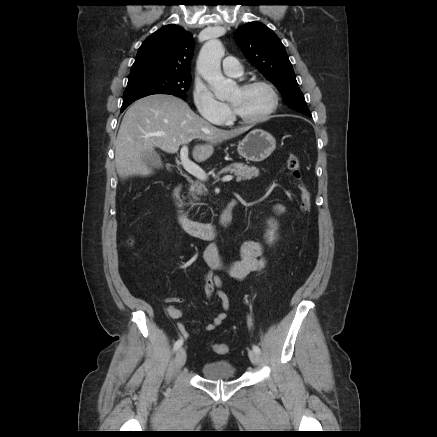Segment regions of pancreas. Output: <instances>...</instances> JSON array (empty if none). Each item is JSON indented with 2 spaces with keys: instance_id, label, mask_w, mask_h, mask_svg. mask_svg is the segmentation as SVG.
<instances>
[{
  "instance_id": "obj_1",
  "label": "pancreas",
  "mask_w": 437,
  "mask_h": 437,
  "mask_svg": "<svg viewBox=\"0 0 437 437\" xmlns=\"http://www.w3.org/2000/svg\"><path fill=\"white\" fill-rule=\"evenodd\" d=\"M228 172L233 173L237 177V182L259 176V169L254 166L244 165L243 163H234L232 168L228 169ZM206 191L205 185L199 182H195L190 187V194L195 200H199L197 195H202Z\"/></svg>"
}]
</instances>
